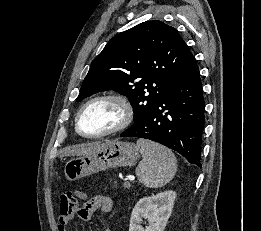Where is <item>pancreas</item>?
Instances as JSON below:
<instances>
[{
  "label": "pancreas",
  "mask_w": 261,
  "mask_h": 231,
  "mask_svg": "<svg viewBox=\"0 0 261 231\" xmlns=\"http://www.w3.org/2000/svg\"><path fill=\"white\" fill-rule=\"evenodd\" d=\"M129 186H130V185H128V184H124V187H125V188H129Z\"/></svg>",
  "instance_id": "cf45deb5"
}]
</instances>
